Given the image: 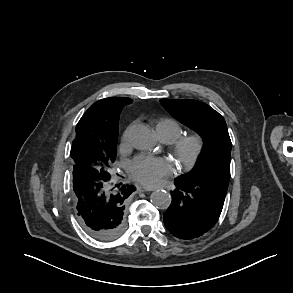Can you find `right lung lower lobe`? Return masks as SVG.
<instances>
[{
	"label": "right lung lower lobe",
	"instance_id": "right-lung-lower-lobe-1",
	"mask_svg": "<svg viewBox=\"0 0 293 293\" xmlns=\"http://www.w3.org/2000/svg\"><path fill=\"white\" fill-rule=\"evenodd\" d=\"M73 190L79 221L92 237L110 241L125 229V201L135 191L130 186L114 185L110 175L93 167L75 165Z\"/></svg>",
	"mask_w": 293,
	"mask_h": 293
}]
</instances>
